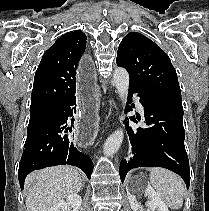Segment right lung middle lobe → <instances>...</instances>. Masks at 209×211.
<instances>
[{"label": "right lung middle lobe", "mask_w": 209, "mask_h": 211, "mask_svg": "<svg viewBox=\"0 0 209 211\" xmlns=\"http://www.w3.org/2000/svg\"><path fill=\"white\" fill-rule=\"evenodd\" d=\"M49 110H41L36 112H30V120L29 125L27 129V134L30 133L34 128L37 127V125L45 118L47 117V114Z\"/></svg>", "instance_id": "dd1d6c3e"}]
</instances>
